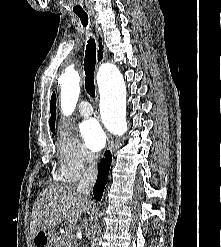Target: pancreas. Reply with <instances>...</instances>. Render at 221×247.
<instances>
[{
    "mask_svg": "<svg viewBox=\"0 0 221 247\" xmlns=\"http://www.w3.org/2000/svg\"><path fill=\"white\" fill-rule=\"evenodd\" d=\"M71 240L66 237L62 236L60 239L57 238L54 240V247H71Z\"/></svg>",
    "mask_w": 221,
    "mask_h": 247,
    "instance_id": "obj_1",
    "label": "pancreas"
}]
</instances>
